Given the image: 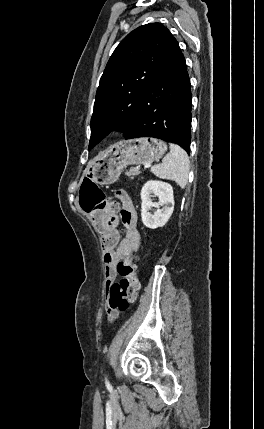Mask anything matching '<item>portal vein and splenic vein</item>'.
Masks as SVG:
<instances>
[{
	"instance_id": "portal-vein-and-splenic-vein-1",
	"label": "portal vein and splenic vein",
	"mask_w": 264,
	"mask_h": 429,
	"mask_svg": "<svg viewBox=\"0 0 264 429\" xmlns=\"http://www.w3.org/2000/svg\"><path fill=\"white\" fill-rule=\"evenodd\" d=\"M150 167H152V164H151V163H148V164H145V165H144V168H145V169L150 168Z\"/></svg>"
}]
</instances>
